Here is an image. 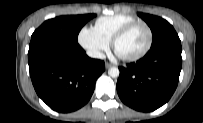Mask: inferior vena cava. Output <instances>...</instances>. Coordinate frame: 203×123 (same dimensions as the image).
<instances>
[{"label":"inferior vena cava","instance_id":"inferior-vena-cava-1","mask_svg":"<svg viewBox=\"0 0 203 123\" xmlns=\"http://www.w3.org/2000/svg\"><path fill=\"white\" fill-rule=\"evenodd\" d=\"M87 55L91 58L105 59V54L97 50H89Z\"/></svg>","mask_w":203,"mask_h":123}]
</instances>
